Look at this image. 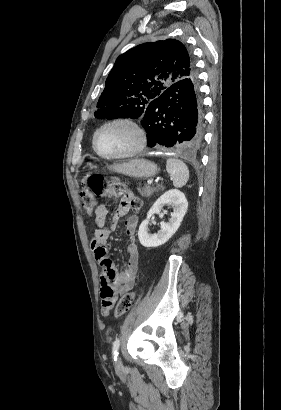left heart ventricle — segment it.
<instances>
[{
    "mask_svg": "<svg viewBox=\"0 0 281 410\" xmlns=\"http://www.w3.org/2000/svg\"><path fill=\"white\" fill-rule=\"evenodd\" d=\"M96 142L102 153L119 155L134 148L137 143V136L132 128L119 124L101 130Z\"/></svg>",
    "mask_w": 281,
    "mask_h": 410,
    "instance_id": "left-heart-ventricle-1",
    "label": "left heart ventricle"
}]
</instances>
